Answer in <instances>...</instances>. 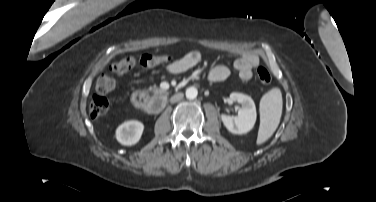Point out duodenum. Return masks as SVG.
Wrapping results in <instances>:
<instances>
[{"mask_svg": "<svg viewBox=\"0 0 376 202\" xmlns=\"http://www.w3.org/2000/svg\"><path fill=\"white\" fill-rule=\"evenodd\" d=\"M167 97L164 95L147 96L145 93L136 91L131 95L132 105L139 111L148 114L158 113L166 105Z\"/></svg>", "mask_w": 376, "mask_h": 202, "instance_id": "1", "label": "duodenum"}]
</instances>
